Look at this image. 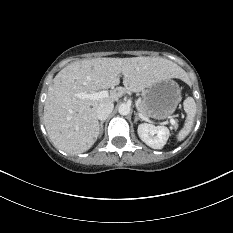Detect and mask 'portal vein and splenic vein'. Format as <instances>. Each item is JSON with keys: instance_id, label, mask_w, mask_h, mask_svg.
I'll use <instances>...</instances> for the list:
<instances>
[{"instance_id": "18ae733b", "label": "portal vein and splenic vein", "mask_w": 233, "mask_h": 233, "mask_svg": "<svg viewBox=\"0 0 233 233\" xmlns=\"http://www.w3.org/2000/svg\"><path fill=\"white\" fill-rule=\"evenodd\" d=\"M109 96V92L107 90H103L100 92H93V93H77L76 97L80 99H91V100H97L102 98H107ZM137 111L140 112V108L138 104L136 103ZM171 125H175V120L173 118H170Z\"/></svg>"}]
</instances>
